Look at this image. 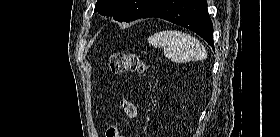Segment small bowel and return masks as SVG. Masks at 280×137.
Segmentation results:
<instances>
[{"label": "small bowel", "mask_w": 280, "mask_h": 137, "mask_svg": "<svg viewBox=\"0 0 280 137\" xmlns=\"http://www.w3.org/2000/svg\"><path fill=\"white\" fill-rule=\"evenodd\" d=\"M119 105L129 122H133L136 120L139 114L137 105L128 100H121Z\"/></svg>", "instance_id": "c3829d8e"}]
</instances>
